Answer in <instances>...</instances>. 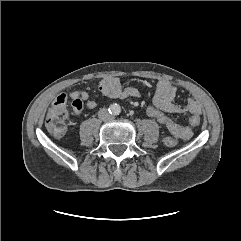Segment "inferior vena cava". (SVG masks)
Listing matches in <instances>:
<instances>
[{
  "label": "inferior vena cava",
  "instance_id": "obj_1",
  "mask_svg": "<svg viewBox=\"0 0 241 241\" xmlns=\"http://www.w3.org/2000/svg\"><path fill=\"white\" fill-rule=\"evenodd\" d=\"M98 117L102 121H110L113 118L112 115L108 112V110L106 108H102L99 110Z\"/></svg>",
  "mask_w": 241,
  "mask_h": 241
}]
</instances>
